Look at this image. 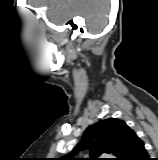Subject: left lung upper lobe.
Listing matches in <instances>:
<instances>
[{
  "label": "left lung upper lobe",
  "mask_w": 158,
  "mask_h": 160,
  "mask_svg": "<svg viewBox=\"0 0 158 160\" xmlns=\"http://www.w3.org/2000/svg\"><path fill=\"white\" fill-rule=\"evenodd\" d=\"M134 133L123 120L116 118L100 120L89 126L72 152L59 160H105L98 158L103 153L116 156L112 160H122ZM82 150H89L91 158H70Z\"/></svg>",
  "instance_id": "1"
}]
</instances>
